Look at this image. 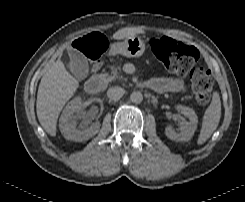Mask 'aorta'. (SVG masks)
<instances>
[{"label":"aorta","instance_id":"1","mask_svg":"<svg viewBox=\"0 0 245 202\" xmlns=\"http://www.w3.org/2000/svg\"><path fill=\"white\" fill-rule=\"evenodd\" d=\"M130 100H131V102H133L135 104H139L143 100V95L139 91L132 92L130 95Z\"/></svg>","mask_w":245,"mask_h":202}]
</instances>
